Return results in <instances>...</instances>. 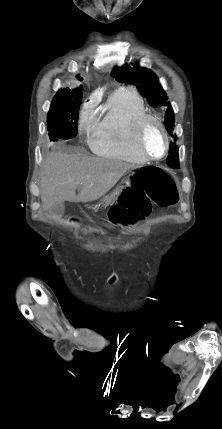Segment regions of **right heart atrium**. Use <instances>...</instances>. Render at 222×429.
Here are the masks:
<instances>
[{
  "label": "right heart atrium",
  "mask_w": 222,
  "mask_h": 429,
  "mask_svg": "<svg viewBox=\"0 0 222 429\" xmlns=\"http://www.w3.org/2000/svg\"><path fill=\"white\" fill-rule=\"evenodd\" d=\"M97 122L96 104L95 100L92 99L86 102L80 110L78 121L79 132L82 134L92 132L96 128Z\"/></svg>",
  "instance_id": "1"
}]
</instances>
